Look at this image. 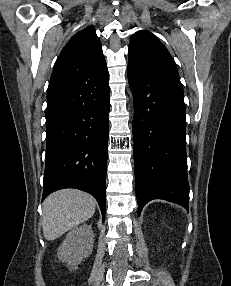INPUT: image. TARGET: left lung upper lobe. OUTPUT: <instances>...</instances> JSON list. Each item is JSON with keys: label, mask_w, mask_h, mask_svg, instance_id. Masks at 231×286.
Listing matches in <instances>:
<instances>
[{"label": "left lung upper lobe", "mask_w": 231, "mask_h": 286, "mask_svg": "<svg viewBox=\"0 0 231 286\" xmlns=\"http://www.w3.org/2000/svg\"><path fill=\"white\" fill-rule=\"evenodd\" d=\"M128 64L150 75L180 82L177 67L166 47L150 32L134 33L128 48Z\"/></svg>", "instance_id": "obj_1"}]
</instances>
